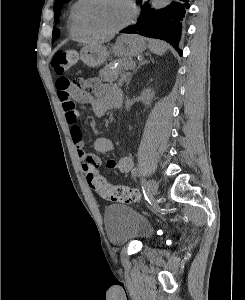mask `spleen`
<instances>
[{"instance_id":"spleen-1","label":"spleen","mask_w":245,"mask_h":300,"mask_svg":"<svg viewBox=\"0 0 245 300\" xmlns=\"http://www.w3.org/2000/svg\"><path fill=\"white\" fill-rule=\"evenodd\" d=\"M148 47L151 52L157 55H163L166 51V44L158 40H149Z\"/></svg>"}]
</instances>
